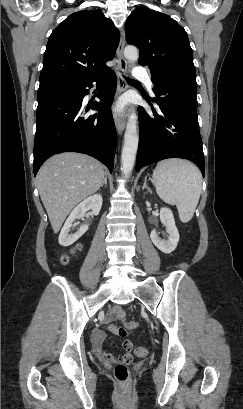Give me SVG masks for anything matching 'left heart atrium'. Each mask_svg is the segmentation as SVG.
<instances>
[{"instance_id": "left-heart-atrium-1", "label": "left heart atrium", "mask_w": 243, "mask_h": 409, "mask_svg": "<svg viewBox=\"0 0 243 409\" xmlns=\"http://www.w3.org/2000/svg\"><path fill=\"white\" fill-rule=\"evenodd\" d=\"M121 108H122V105H121V104H119V105H117V106H116L115 110H116V111H120V110H121Z\"/></svg>"}]
</instances>
